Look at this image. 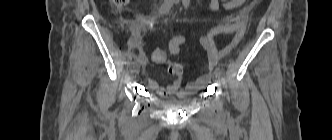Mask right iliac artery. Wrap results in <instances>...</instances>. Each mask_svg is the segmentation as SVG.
Returning <instances> with one entry per match:
<instances>
[{"mask_svg": "<svg viewBox=\"0 0 332 140\" xmlns=\"http://www.w3.org/2000/svg\"><path fill=\"white\" fill-rule=\"evenodd\" d=\"M173 3H174V0H165L164 3L161 5V7L159 9V14L160 15L166 14L171 9ZM138 59H141V60L144 59V53L143 52L139 53Z\"/></svg>", "mask_w": 332, "mask_h": 140, "instance_id": "right-iliac-artery-1", "label": "right iliac artery"}]
</instances>
